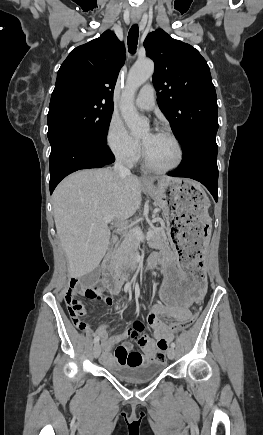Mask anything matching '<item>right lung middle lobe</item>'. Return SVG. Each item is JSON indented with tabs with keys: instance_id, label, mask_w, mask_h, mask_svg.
Returning a JSON list of instances; mask_svg holds the SVG:
<instances>
[{
	"instance_id": "1",
	"label": "right lung middle lobe",
	"mask_w": 263,
	"mask_h": 435,
	"mask_svg": "<svg viewBox=\"0 0 263 435\" xmlns=\"http://www.w3.org/2000/svg\"><path fill=\"white\" fill-rule=\"evenodd\" d=\"M113 103L73 100L49 106L48 139L53 147L62 136H81L105 144Z\"/></svg>"
}]
</instances>
